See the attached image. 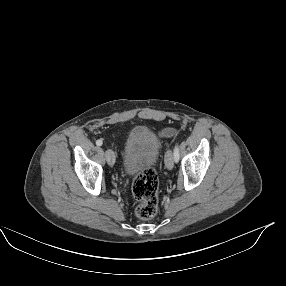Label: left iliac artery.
Wrapping results in <instances>:
<instances>
[{
    "mask_svg": "<svg viewBox=\"0 0 286 286\" xmlns=\"http://www.w3.org/2000/svg\"><path fill=\"white\" fill-rule=\"evenodd\" d=\"M173 154H174V160L175 162L179 161V149H178V144L175 145L174 149H173Z\"/></svg>",
    "mask_w": 286,
    "mask_h": 286,
    "instance_id": "obj_1",
    "label": "left iliac artery"
}]
</instances>
